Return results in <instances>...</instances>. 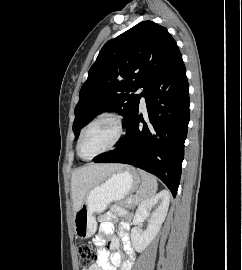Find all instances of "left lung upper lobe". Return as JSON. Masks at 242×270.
<instances>
[{"instance_id": "left-lung-upper-lobe-1", "label": "left lung upper lobe", "mask_w": 242, "mask_h": 270, "mask_svg": "<svg viewBox=\"0 0 242 270\" xmlns=\"http://www.w3.org/2000/svg\"><path fill=\"white\" fill-rule=\"evenodd\" d=\"M178 46L165 27L143 21L108 41L89 70L75 108L73 131L76 139L81 128L103 111L123 115L126 128L138 112L142 94L155 77L179 57Z\"/></svg>"}]
</instances>
